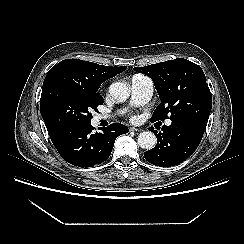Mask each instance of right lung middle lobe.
Segmentation results:
<instances>
[{"mask_svg": "<svg viewBox=\"0 0 244 244\" xmlns=\"http://www.w3.org/2000/svg\"><path fill=\"white\" fill-rule=\"evenodd\" d=\"M103 99L90 97L63 80L53 78L43 84L40 111L48 132L75 124L91 123L92 109Z\"/></svg>", "mask_w": 244, "mask_h": 244, "instance_id": "obj_1", "label": "right lung middle lobe"}]
</instances>
